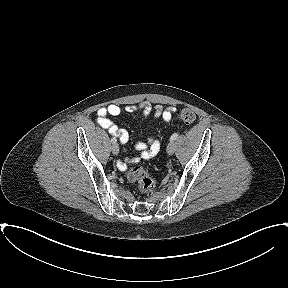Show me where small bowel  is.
<instances>
[{
    "label": "small bowel",
    "instance_id": "obj_1",
    "mask_svg": "<svg viewBox=\"0 0 288 288\" xmlns=\"http://www.w3.org/2000/svg\"><path fill=\"white\" fill-rule=\"evenodd\" d=\"M127 113H140L143 117L152 116L154 119H163L165 122H170L172 114L175 111L174 107L163 108L161 105L152 106L150 103H142L138 106H126L124 109ZM122 112L120 106L111 104L107 107H102L97 111L98 124L116 136L121 144H125L129 140V133L119 128L110 119L109 116H118ZM139 151V157L130 159L132 163H137L140 160H148L155 156L161 147L160 140L156 136H150L146 141H139L135 145ZM120 169H125L126 165L122 162L118 163Z\"/></svg>",
    "mask_w": 288,
    "mask_h": 288
}]
</instances>
